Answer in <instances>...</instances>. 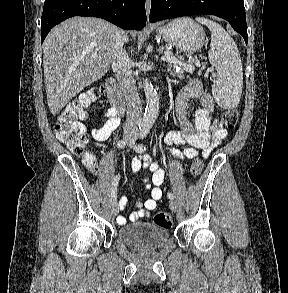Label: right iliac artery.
<instances>
[{
  "mask_svg": "<svg viewBox=\"0 0 288 293\" xmlns=\"http://www.w3.org/2000/svg\"><path fill=\"white\" fill-rule=\"evenodd\" d=\"M117 146L119 148H124L126 146V142L124 140H120L117 143ZM119 180H120V175H117L112 182V188H111V202H112V204L116 203V201H117V186H118Z\"/></svg>",
  "mask_w": 288,
  "mask_h": 293,
  "instance_id": "82829eb1",
  "label": "right iliac artery"
}]
</instances>
